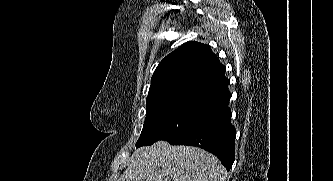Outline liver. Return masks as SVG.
<instances>
[{
  "instance_id": "6515ba94",
  "label": "liver",
  "mask_w": 333,
  "mask_h": 181,
  "mask_svg": "<svg viewBox=\"0 0 333 181\" xmlns=\"http://www.w3.org/2000/svg\"><path fill=\"white\" fill-rule=\"evenodd\" d=\"M225 168L213 154L158 141L135 150L119 181H225Z\"/></svg>"
}]
</instances>
